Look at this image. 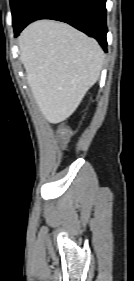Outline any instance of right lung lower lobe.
I'll return each instance as SVG.
<instances>
[{
  "label": "right lung lower lobe",
  "mask_w": 134,
  "mask_h": 281,
  "mask_svg": "<svg viewBox=\"0 0 134 281\" xmlns=\"http://www.w3.org/2000/svg\"><path fill=\"white\" fill-rule=\"evenodd\" d=\"M105 3L106 0H31L15 36L37 19H54L94 37L107 51Z\"/></svg>",
  "instance_id": "1"
}]
</instances>
